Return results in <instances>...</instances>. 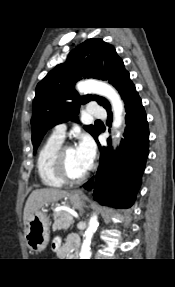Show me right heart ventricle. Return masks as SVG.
Listing matches in <instances>:
<instances>
[{
  "mask_svg": "<svg viewBox=\"0 0 175 287\" xmlns=\"http://www.w3.org/2000/svg\"><path fill=\"white\" fill-rule=\"evenodd\" d=\"M62 143V139L51 135L45 140L38 151L36 169L40 181L45 186L60 188L65 183L57 177L53 167L55 152Z\"/></svg>",
  "mask_w": 175,
  "mask_h": 287,
  "instance_id": "e07e8e85",
  "label": "right heart ventricle"
}]
</instances>
